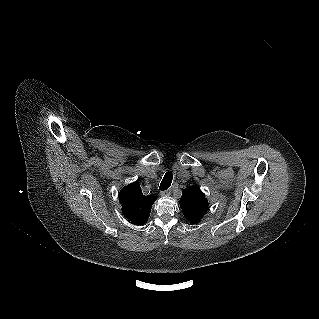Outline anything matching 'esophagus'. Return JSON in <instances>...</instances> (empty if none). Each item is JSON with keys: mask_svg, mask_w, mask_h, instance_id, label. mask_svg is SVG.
<instances>
[{"mask_svg": "<svg viewBox=\"0 0 319 319\" xmlns=\"http://www.w3.org/2000/svg\"><path fill=\"white\" fill-rule=\"evenodd\" d=\"M170 194H171V190H170V189L165 190V191H162V192L160 193L161 196H169Z\"/></svg>", "mask_w": 319, "mask_h": 319, "instance_id": "34e87169", "label": "esophagus"}]
</instances>
